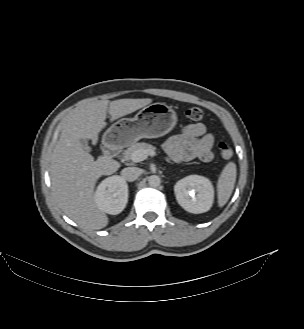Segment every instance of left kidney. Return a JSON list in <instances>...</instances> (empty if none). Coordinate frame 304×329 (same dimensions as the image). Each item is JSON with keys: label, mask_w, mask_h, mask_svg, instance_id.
Masks as SVG:
<instances>
[{"label": "left kidney", "mask_w": 304, "mask_h": 329, "mask_svg": "<svg viewBox=\"0 0 304 329\" xmlns=\"http://www.w3.org/2000/svg\"><path fill=\"white\" fill-rule=\"evenodd\" d=\"M178 204L194 214L207 212L214 201V188L211 181L203 176L189 175L174 186Z\"/></svg>", "instance_id": "left-kidney-1"}]
</instances>
